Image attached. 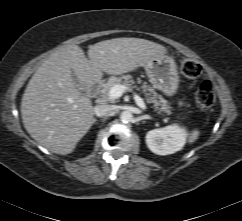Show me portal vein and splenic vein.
I'll return each instance as SVG.
<instances>
[{
	"instance_id": "obj_1",
	"label": "portal vein and splenic vein",
	"mask_w": 242,
	"mask_h": 221,
	"mask_svg": "<svg viewBox=\"0 0 242 221\" xmlns=\"http://www.w3.org/2000/svg\"><path fill=\"white\" fill-rule=\"evenodd\" d=\"M129 88L127 86L124 85H115L113 86L110 91H109V96L112 99H118L119 97H121L123 95V93L128 90ZM134 99L137 103V105L142 108V109H146V105L143 101V99L141 97H139L138 95H134Z\"/></svg>"
}]
</instances>
